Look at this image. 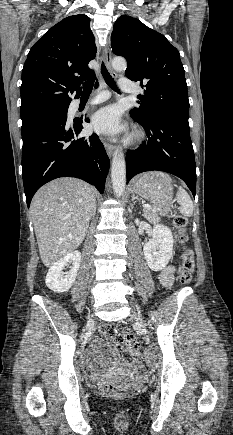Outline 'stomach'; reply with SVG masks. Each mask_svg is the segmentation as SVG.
<instances>
[{"instance_id": "1", "label": "stomach", "mask_w": 233, "mask_h": 435, "mask_svg": "<svg viewBox=\"0 0 233 435\" xmlns=\"http://www.w3.org/2000/svg\"><path fill=\"white\" fill-rule=\"evenodd\" d=\"M132 190L158 210H170L173 202V182L167 174L157 171L142 174L133 180Z\"/></svg>"}]
</instances>
